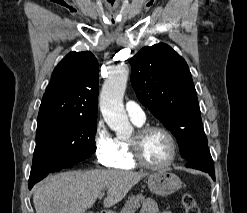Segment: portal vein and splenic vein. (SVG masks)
Returning <instances> with one entry per match:
<instances>
[{
	"instance_id": "portal-vein-and-splenic-vein-1",
	"label": "portal vein and splenic vein",
	"mask_w": 247,
	"mask_h": 213,
	"mask_svg": "<svg viewBox=\"0 0 247 213\" xmlns=\"http://www.w3.org/2000/svg\"><path fill=\"white\" fill-rule=\"evenodd\" d=\"M103 196H104V193H100L99 196H98V198H99V199H102Z\"/></svg>"
}]
</instances>
